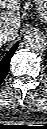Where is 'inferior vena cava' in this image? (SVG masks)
Listing matches in <instances>:
<instances>
[{"label": "inferior vena cava", "instance_id": "1", "mask_svg": "<svg viewBox=\"0 0 47 129\" xmlns=\"http://www.w3.org/2000/svg\"><path fill=\"white\" fill-rule=\"evenodd\" d=\"M15 33L14 31H11L9 29H1L0 30V41L1 42H10L15 39Z\"/></svg>", "mask_w": 47, "mask_h": 129}]
</instances>
